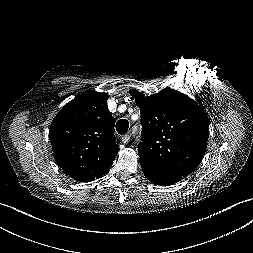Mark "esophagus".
I'll return each instance as SVG.
<instances>
[{"label": "esophagus", "instance_id": "obj_1", "mask_svg": "<svg viewBox=\"0 0 253 253\" xmlns=\"http://www.w3.org/2000/svg\"><path fill=\"white\" fill-rule=\"evenodd\" d=\"M129 140H130V136H129L128 134H127V135H124V136L122 137V142H123L124 144L128 143Z\"/></svg>", "mask_w": 253, "mask_h": 253}]
</instances>
